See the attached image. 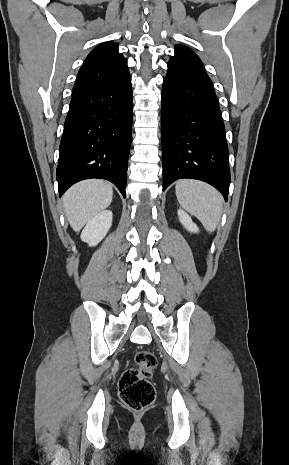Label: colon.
Masks as SVG:
<instances>
[{"instance_id": "obj_1", "label": "colon", "mask_w": 289, "mask_h": 465, "mask_svg": "<svg viewBox=\"0 0 289 465\" xmlns=\"http://www.w3.org/2000/svg\"><path fill=\"white\" fill-rule=\"evenodd\" d=\"M135 367L126 369L119 382V397L131 410L141 411L155 400L156 392L150 379L157 366L154 354L148 350L138 351Z\"/></svg>"}]
</instances>
